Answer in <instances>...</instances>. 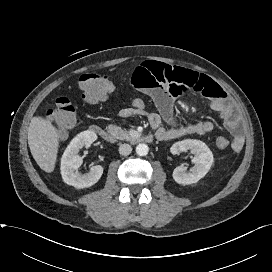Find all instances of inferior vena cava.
I'll list each match as a JSON object with an SVG mask.
<instances>
[{
	"instance_id": "inferior-vena-cava-1",
	"label": "inferior vena cava",
	"mask_w": 272,
	"mask_h": 272,
	"mask_svg": "<svg viewBox=\"0 0 272 272\" xmlns=\"http://www.w3.org/2000/svg\"><path fill=\"white\" fill-rule=\"evenodd\" d=\"M132 147L129 144H121L119 146V153L123 156H127L131 153Z\"/></svg>"
}]
</instances>
